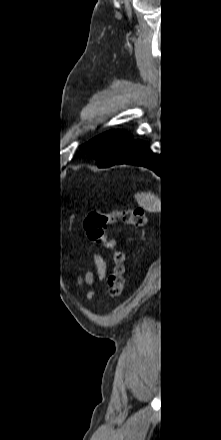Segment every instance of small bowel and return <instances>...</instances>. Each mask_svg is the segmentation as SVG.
Here are the masks:
<instances>
[{
  "instance_id": "c3829d8e",
  "label": "small bowel",
  "mask_w": 221,
  "mask_h": 440,
  "mask_svg": "<svg viewBox=\"0 0 221 440\" xmlns=\"http://www.w3.org/2000/svg\"><path fill=\"white\" fill-rule=\"evenodd\" d=\"M95 267H96V271H97L99 278L103 279L106 275V264L101 257L95 258ZM83 281H85V282L91 281V276L89 274H87L84 276V278H80L78 280V284L81 285Z\"/></svg>"
}]
</instances>
